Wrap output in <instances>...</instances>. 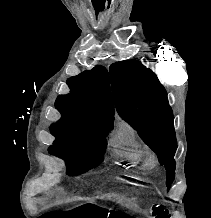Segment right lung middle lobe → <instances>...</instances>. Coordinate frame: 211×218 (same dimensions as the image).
Masks as SVG:
<instances>
[{
    "label": "right lung middle lobe",
    "mask_w": 211,
    "mask_h": 218,
    "mask_svg": "<svg viewBox=\"0 0 211 218\" xmlns=\"http://www.w3.org/2000/svg\"><path fill=\"white\" fill-rule=\"evenodd\" d=\"M55 136V145L81 148L84 155L81 159L68 162L67 174L71 176L82 174L97 167L103 160L108 132L100 126H79L58 121L51 126Z\"/></svg>",
    "instance_id": "dd1d6c3e"
}]
</instances>
